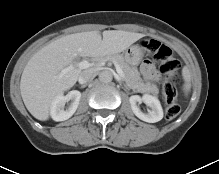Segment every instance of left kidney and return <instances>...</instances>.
Returning <instances> with one entry per match:
<instances>
[{
	"mask_svg": "<svg viewBox=\"0 0 219 174\" xmlns=\"http://www.w3.org/2000/svg\"><path fill=\"white\" fill-rule=\"evenodd\" d=\"M131 104V109L133 113L141 120L148 123H155L160 121L163 118V109L161 107L160 101L157 97L144 94L142 97L139 95H133L129 98ZM138 102L145 103L148 107L151 108L147 113H143L140 108L137 106Z\"/></svg>",
	"mask_w": 219,
	"mask_h": 174,
	"instance_id": "left-kidney-1",
	"label": "left kidney"
}]
</instances>
